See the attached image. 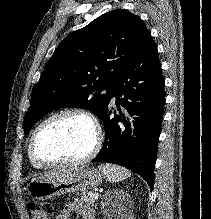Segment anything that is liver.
<instances>
[{"instance_id": "1", "label": "liver", "mask_w": 211, "mask_h": 219, "mask_svg": "<svg viewBox=\"0 0 211 219\" xmlns=\"http://www.w3.org/2000/svg\"><path fill=\"white\" fill-rule=\"evenodd\" d=\"M70 171H71V169L70 170L53 171V172L46 174L45 176L37 178L36 181H50L53 179L62 178L64 176H66Z\"/></svg>"}]
</instances>
